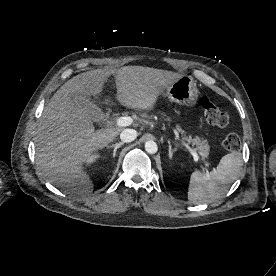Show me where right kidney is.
I'll list each match as a JSON object with an SVG mask.
<instances>
[{
	"instance_id": "right-kidney-1",
	"label": "right kidney",
	"mask_w": 276,
	"mask_h": 276,
	"mask_svg": "<svg viewBox=\"0 0 276 276\" xmlns=\"http://www.w3.org/2000/svg\"><path fill=\"white\" fill-rule=\"evenodd\" d=\"M99 156L98 155H92V156H89L88 158H87V162L88 163H91V162H93L96 158H98Z\"/></svg>"
}]
</instances>
